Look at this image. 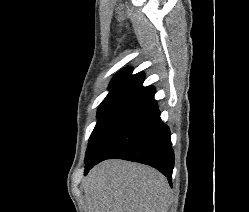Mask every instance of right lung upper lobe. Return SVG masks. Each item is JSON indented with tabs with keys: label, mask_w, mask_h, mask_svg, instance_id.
<instances>
[{
	"label": "right lung upper lobe",
	"mask_w": 249,
	"mask_h": 212,
	"mask_svg": "<svg viewBox=\"0 0 249 212\" xmlns=\"http://www.w3.org/2000/svg\"><path fill=\"white\" fill-rule=\"evenodd\" d=\"M144 73L132 74V68H124L112 79L109 86V95H133L142 97L155 91L152 86L144 87Z\"/></svg>",
	"instance_id": "right-lung-upper-lobe-1"
}]
</instances>
